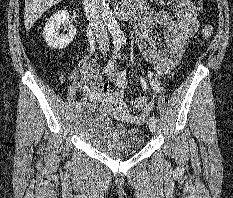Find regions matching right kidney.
Masks as SVG:
<instances>
[{"label":"right kidney","mask_w":233,"mask_h":198,"mask_svg":"<svg viewBox=\"0 0 233 198\" xmlns=\"http://www.w3.org/2000/svg\"><path fill=\"white\" fill-rule=\"evenodd\" d=\"M69 24V13L66 10H61L53 14L45 24L43 36L47 45L53 49L66 48L76 35V28L69 25L68 33L59 35L61 25Z\"/></svg>","instance_id":"obj_1"}]
</instances>
